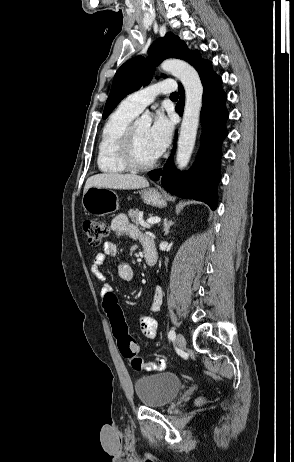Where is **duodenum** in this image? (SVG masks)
Returning a JSON list of instances; mask_svg holds the SVG:
<instances>
[{"label":"duodenum","mask_w":294,"mask_h":462,"mask_svg":"<svg viewBox=\"0 0 294 462\" xmlns=\"http://www.w3.org/2000/svg\"><path fill=\"white\" fill-rule=\"evenodd\" d=\"M144 258L148 265L153 266L157 262V250L153 243L143 244Z\"/></svg>","instance_id":"1"}]
</instances>
